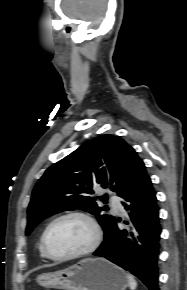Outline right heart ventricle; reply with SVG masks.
I'll return each instance as SVG.
<instances>
[{"mask_svg": "<svg viewBox=\"0 0 187 290\" xmlns=\"http://www.w3.org/2000/svg\"><path fill=\"white\" fill-rule=\"evenodd\" d=\"M39 253H40L41 258H43V259H47L48 258L45 255L44 251H43L41 240H40V243H39Z\"/></svg>", "mask_w": 187, "mask_h": 290, "instance_id": "e07e8e85", "label": "right heart ventricle"}]
</instances>
